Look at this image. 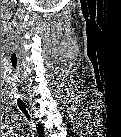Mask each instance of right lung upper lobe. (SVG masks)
I'll return each instance as SVG.
<instances>
[{
	"label": "right lung upper lobe",
	"instance_id": "1",
	"mask_svg": "<svg viewBox=\"0 0 121 137\" xmlns=\"http://www.w3.org/2000/svg\"><path fill=\"white\" fill-rule=\"evenodd\" d=\"M38 129H39V130H42V127L40 126Z\"/></svg>",
	"mask_w": 121,
	"mask_h": 137
}]
</instances>
